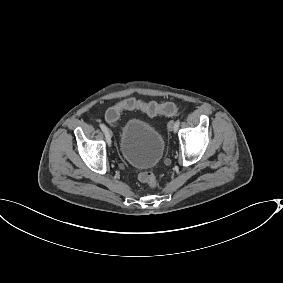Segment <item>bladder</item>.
<instances>
[{"instance_id":"1","label":"bladder","mask_w":283,"mask_h":283,"mask_svg":"<svg viewBox=\"0 0 283 283\" xmlns=\"http://www.w3.org/2000/svg\"><path fill=\"white\" fill-rule=\"evenodd\" d=\"M118 152L133 167H153L165 152V138L162 131L151 122L129 117L121 126Z\"/></svg>"}]
</instances>
